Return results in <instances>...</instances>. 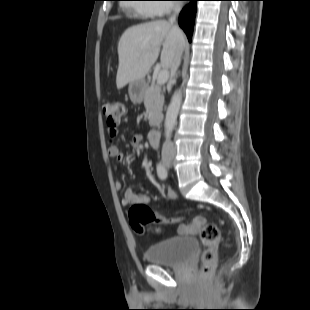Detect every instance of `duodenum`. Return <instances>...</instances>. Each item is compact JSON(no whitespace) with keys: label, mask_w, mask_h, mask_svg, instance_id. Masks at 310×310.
Segmentation results:
<instances>
[{"label":"duodenum","mask_w":310,"mask_h":310,"mask_svg":"<svg viewBox=\"0 0 310 310\" xmlns=\"http://www.w3.org/2000/svg\"><path fill=\"white\" fill-rule=\"evenodd\" d=\"M161 131L160 129L152 130L149 134V142L153 148H158L160 143Z\"/></svg>","instance_id":"410a0bca"}]
</instances>
